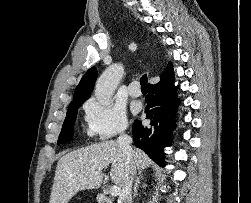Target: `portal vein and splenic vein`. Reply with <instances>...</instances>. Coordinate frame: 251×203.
Wrapping results in <instances>:
<instances>
[{
    "instance_id": "1",
    "label": "portal vein and splenic vein",
    "mask_w": 251,
    "mask_h": 203,
    "mask_svg": "<svg viewBox=\"0 0 251 203\" xmlns=\"http://www.w3.org/2000/svg\"><path fill=\"white\" fill-rule=\"evenodd\" d=\"M98 171H102V168H98ZM110 193L112 196H118L120 194V187L117 185H113L110 188Z\"/></svg>"
}]
</instances>
